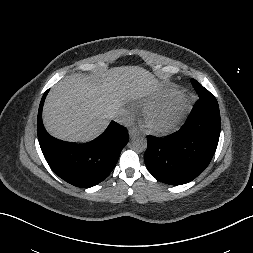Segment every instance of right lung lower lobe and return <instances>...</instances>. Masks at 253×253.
<instances>
[{
    "instance_id": "98d812e1",
    "label": "right lung lower lobe",
    "mask_w": 253,
    "mask_h": 253,
    "mask_svg": "<svg viewBox=\"0 0 253 253\" xmlns=\"http://www.w3.org/2000/svg\"><path fill=\"white\" fill-rule=\"evenodd\" d=\"M47 90L40 102L37 119L38 139L43 155L56 175L82 188L97 185L113 170L129 137L127 130L116 122L96 139L85 144H70L52 138L42 123V108Z\"/></svg>"
}]
</instances>
